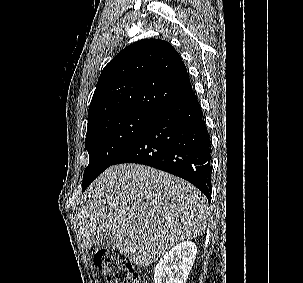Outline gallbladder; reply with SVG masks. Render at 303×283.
Segmentation results:
<instances>
[{
    "label": "gallbladder",
    "instance_id": "obj_1",
    "mask_svg": "<svg viewBox=\"0 0 303 283\" xmlns=\"http://www.w3.org/2000/svg\"><path fill=\"white\" fill-rule=\"evenodd\" d=\"M97 246L102 249L114 250L115 241L112 236H103L98 239Z\"/></svg>",
    "mask_w": 303,
    "mask_h": 283
}]
</instances>
